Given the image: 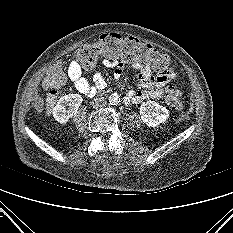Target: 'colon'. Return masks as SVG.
<instances>
[{"label":"colon","instance_id":"1","mask_svg":"<svg viewBox=\"0 0 233 233\" xmlns=\"http://www.w3.org/2000/svg\"><path fill=\"white\" fill-rule=\"evenodd\" d=\"M100 55L111 58H121L127 63H151L160 72H171L172 64L169 56L154 48L142 43L135 38H122L118 34L102 35L95 44L81 46L75 52V59L86 69L92 68ZM64 82V73L61 65H54L48 72L44 87L48 92L45 109L51 111L58 95V89ZM164 100L167 105L181 110L183 108L182 94L175 87H169L164 93Z\"/></svg>","mask_w":233,"mask_h":233}]
</instances>
